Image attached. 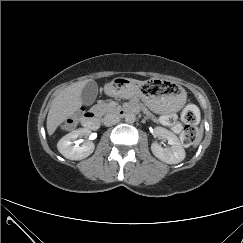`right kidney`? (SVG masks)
I'll return each mask as SVG.
<instances>
[{
  "mask_svg": "<svg viewBox=\"0 0 243 243\" xmlns=\"http://www.w3.org/2000/svg\"><path fill=\"white\" fill-rule=\"evenodd\" d=\"M90 133L91 131L86 128H80L68 133L57 143L58 151L70 160H82L88 157L95 149L94 143L87 140L82 145H79L80 140L78 138L88 136Z\"/></svg>",
  "mask_w": 243,
  "mask_h": 243,
  "instance_id": "1",
  "label": "right kidney"
}]
</instances>
